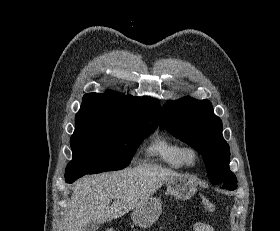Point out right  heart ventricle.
<instances>
[{"label":"right heart ventricle","instance_id":"obj_1","mask_svg":"<svg viewBox=\"0 0 280 231\" xmlns=\"http://www.w3.org/2000/svg\"><path fill=\"white\" fill-rule=\"evenodd\" d=\"M183 143L167 136L162 132H156L146 143L142 151L144 162L155 161L168 168L180 170L182 164L180 153Z\"/></svg>","mask_w":280,"mask_h":231}]
</instances>
